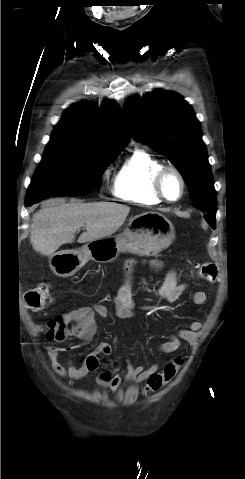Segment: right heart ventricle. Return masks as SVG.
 I'll return each mask as SVG.
<instances>
[{
    "mask_svg": "<svg viewBox=\"0 0 245 479\" xmlns=\"http://www.w3.org/2000/svg\"><path fill=\"white\" fill-rule=\"evenodd\" d=\"M164 163L143 148H136L120 166L114 180L116 197L143 205L161 202L154 190L155 174Z\"/></svg>",
    "mask_w": 245,
    "mask_h": 479,
    "instance_id": "1",
    "label": "right heart ventricle"
}]
</instances>
